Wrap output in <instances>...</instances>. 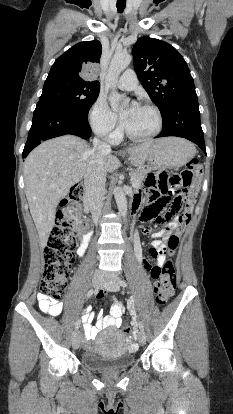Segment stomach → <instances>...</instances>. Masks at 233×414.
Instances as JSON below:
<instances>
[{
    "mask_svg": "<svg viewBox=\"0 0 233 414\" xmlns=\"http://www.w3.org/2000/svg\"><path fill=\"white\" fill-rule=\"evenodd\" d=\"M194 155L195 147L190 142L179 138H162L152 143L147 160L152 165L151 169L179 168Z\"/></svg>",
    "mask_w": 233,
    "mask_h": 414,
    "instance_id": "0dacf381",
    "label": "stomach"
}]
</instances>
